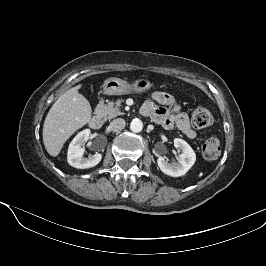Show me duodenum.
Here are the masks:
<instances>
[{"label": "duodenum", "mask_w": 266, "mask_h": 266, "mask_svg": "<svg viewBox=\"0 0 266 266\" xmlns=\"http://www.w3.org/2000/svg\"><path fill=\"white\" fill-rule=\"evenodd\" d=\"M100 106V103H99ZM102 125V115L99 110H97L89 120V126L93 129H99Z\"/></svg>", "instance_id": "410a0bca"}]
</instances>
